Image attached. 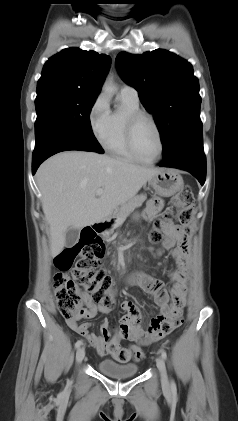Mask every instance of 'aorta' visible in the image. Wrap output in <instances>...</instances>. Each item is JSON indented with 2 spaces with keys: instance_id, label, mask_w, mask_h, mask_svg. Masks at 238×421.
<instances>
[{
  "instance_id": "1",
  "label": "aorta",
  "mask_w": 238,
  "mask_h": 421,
  "mask_svg": "<svg viewBox=\"0 0 238 421\" xmlns=\"http://www.w3.org/2000/svg\"><path fill=\"white\" fill-rule=\"evenodd\" d=\"M103 90L107 93H113L116 88L113 84V82L111 80H108L105 82L104 86H103Z\"/></svg>"
}]
</instances>
